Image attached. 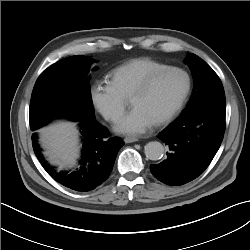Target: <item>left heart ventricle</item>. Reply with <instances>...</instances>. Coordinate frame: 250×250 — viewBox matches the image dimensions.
<instances>
[{
    "label": "left heart ventricle",
    "instance_id": "left-heart-ventricle-1",
    "mask_svg": "<svg viewBox=\"0 0 250 250\" xmlns=\"http://www.w3.org/2000/svg\"><path fill=\"white\" fill-rule=\"evenodd\" d=\"M186 86V79L179 72L160 76L144 94L131 100L133 107L141 108L154 122H157L180 100Z\"/></svg>",
    "mask_w": 250,
    "mask_h": 250
}]
</instances>
